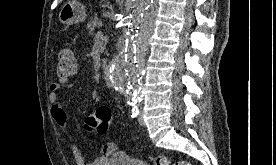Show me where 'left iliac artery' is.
Wrapping results in <instances>:
<instances>
[{
    "label": "left iliac artery",
    "instance_id": "left-iliac-artery-1",
    "mask_svg": "<svg viewBox=\"0 0 276 165\" xmlns=\"http://www.w3.org/2000/svg\"><path fill=\"white\" fill-rule=\"evenodd\" d=\"M139 103L135 102L131 105V116L135 118L138 115Z\"/></svg>",
    "mask_w": 276,
    "mask_h": 165
}]
</instances>
